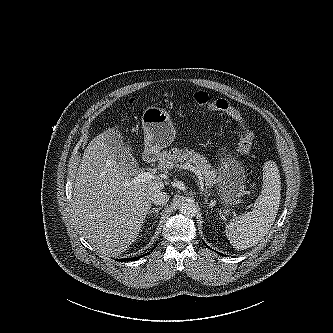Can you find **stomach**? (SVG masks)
Returning a JSON list of instances; mask_svg holds the SVG:
<instances>
[{
	"label": "stomach",
	"mask_w": 333,
	"mask_h": 333,
	"mask_svg": "<svg viewBox=\"0 0 333 333\" xmlns=\"http://www.w3.org/2000/svg\"><path fill=\"white\" fill-rule=\"evenodd\" d=\"M142 128L145 155H158L163 148L173 142L175 137L170 115L161 108L149 107L143 112ZM220 155L221 165L215 183L219 188L218 196L221 203L229 208L241 202L246 178L241 163L228 154L225 148L220 149Z\"/></svg>",
	"instance_id": "obj_1"
}]
</instances>
